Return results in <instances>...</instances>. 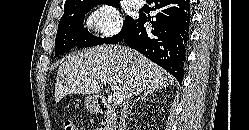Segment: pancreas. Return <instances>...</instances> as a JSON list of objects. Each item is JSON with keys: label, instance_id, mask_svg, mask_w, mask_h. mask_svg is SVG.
I'll return each mask as SVG.
<instances>
[{"label": "pancreas", "instance_id": "obj_1", "mask_svg": "<svg viewBox=\"0 0 249 130\" xmlns=\"http://www.w3.org/2000/svg\"><path fill=\"white\" fill-rule=\"evenodd\" d=\"M104 123H105L104 130H113L114 126H113V123L111 122L110 116L106 117Z\"/></svg>", "mask_w": 249, "mask_h": 130}]
</instances>
